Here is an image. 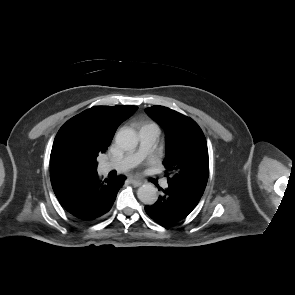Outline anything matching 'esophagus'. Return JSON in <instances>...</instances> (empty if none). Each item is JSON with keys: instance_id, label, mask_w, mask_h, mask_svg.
Wrapping results in <instances>:
<instances>
[{"instance_id": "1", "label": "esophagus", "mask_w": 295, "mask_h": 295, "mask_svg": "<svg viewBox=\"0 0 295 295\" xmlns=\"http://www.w3.org/2000/svg\"><path fill=\"white\" fill-rule=\"evenodd\" d=\"M130 182L134 186H140L142 184V182L140 180H137L135 178H130Z\"/></svg>"}]
</instances>
